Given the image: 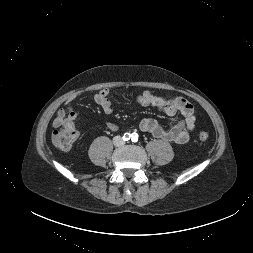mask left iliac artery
<instances>
[{
  "label": "left iliac artery",
  "instance_id": "left-iliac-artery-1",
  "mask_svg": "<svg viewBox=\"0 0 253 253\" xmlns=\"http://www.w3.org/2000/svg\"><path fill=\"white\" fill-rule=\"evenodd\" d=\"M132 142H137L138 141V134L137 133H132Z\"/></svg>",
  "mask_w": 253,
  "mask_h": 253
}]
</instances>
